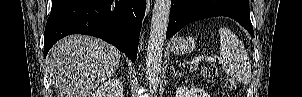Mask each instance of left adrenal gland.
<instances>
[{"label":"left adrenal gland","instance_id":"left-adrenal-gland-1","mask_svg":"<svg viewBox=\"0 0 302 97\" xmlns=\"http://www.w3.org/2000/svg\"><path fill=\"white\" fill-rule=\"evenodd\" d=\"M180 75H181V74L178 73V71H175V68L172 67V77L175 78V77L180 76Z\"/></svg>","mask_w":302,"mask_h":97}]
</instances>
